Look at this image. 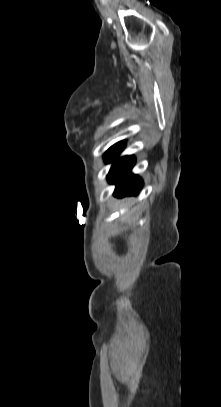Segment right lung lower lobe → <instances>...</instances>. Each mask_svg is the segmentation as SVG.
I'll return each mask as SVG.
<instances>
[{"label": "right lung lower lobe", "instance_id": "right-lung-lower-lobe-1", "mask_svg": "<svg viewBox=\"0 0 221 407\" xmlns=\"http://www.w3.org/2000/svg\"><path fill=\"white\" fill-rule=\"evenodd\" d=\"M116 157L113 159V165L107 176L109 183L117 185L115 195L122 197L138 194L143 186V181L140 177L131 173L135 158L132 156Z\"/></svg>", "mask_w": 221, "mask_h": 407}]
</instances>
